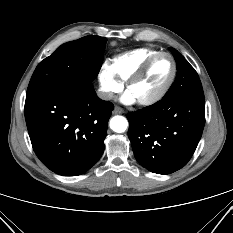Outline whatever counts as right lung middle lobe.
I'll list each match as a JSON object with an SVG mask.
<instances>
[{"label":"right lung middle lobe","instance_id":"obj_1","mask_svg":"<svg viewBox=\"0 0 233 233\" xmlns=\"http://www.w3.org/2000/svg\"><path fill=\"white\" fill-rule=\"evenodd\" d=\"M106 41L104 37L86 36L59 46L36 67L26 100L65 86L92 82L101 68Z\"/></svg>","mask_w":233,"mask_h":233}]
</instances>
